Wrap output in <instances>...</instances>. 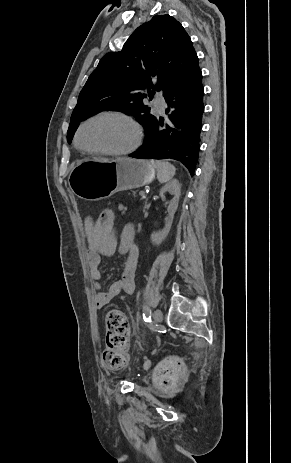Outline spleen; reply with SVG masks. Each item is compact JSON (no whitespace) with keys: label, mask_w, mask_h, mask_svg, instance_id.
I'll list each match as a JSON object with an SVG mask.
<instances>
[{"label":"spleen","mask_w":291,"mask_h":463,"mask_svg":"<svg viewBox=\"0 0 291 463\" xmlns=\"http://www.w3.org/2000/svg\"><path fill=\"white\" fill-rule=\"evenodd\" d=\"M151 164L157 170V179L159 183H166L173 178L176 168L167 161H151Z\"/></svg>","instance_id":"1"}]
</instances>
